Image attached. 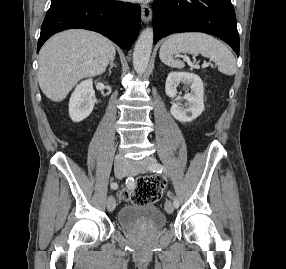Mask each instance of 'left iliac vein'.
I'll list each match as a JSON object with an SVG mask.
<instances>
[{"mask_svg":"<svg viewBox=\"0 0 286 269\" xmlns=\"http://www.w3.org/2000/svg\"><path fill=\"white\" fill-rule=\"evenodd\" d=\"M157 160L154 157H146L140 161H133L130 163L129 174L137 175L149 170L150 166L156 164ZM165 210L168 214H172L174 211V206L170 200L165 202Z\"/></svg>","mask_w":286,"mask_h":269,"instance_id":"obj_1","label":"left iliac vein"}]
</instances>
